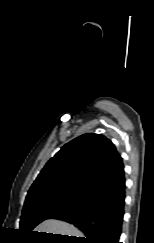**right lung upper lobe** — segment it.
<instances>
[{
  "label": "right lung upper lobe",
  "mask_w": 154,
  "mask_h": 243,
  "mask_svg": "<svg viewBox=\"0 0 154 243\" xmlns=\"http://www.w3.org/2000/svg\"><path fill=\"white\" fill-rule=\"evenodd\" d=\"M124 176L122 158L100 134H84L64 145L42 169L25 202L43 196L89 199Z\"/></svg>",
  "instance_id": "1"
}]
</instances>
